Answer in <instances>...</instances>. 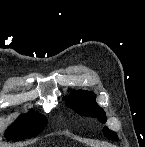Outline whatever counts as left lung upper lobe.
I'll return each instance as SVG.
<instances>
[{
	"label": "left lung upper lobe",
	"mask_w": 145,
	"mask_h": 147,
	"mask_svg": "<svg viewBox=\"0 0 145 147\" xmlns=\"http://www.w3.org/2000/svg\"><path fill=\"white\" fill-rule=\"evenodd\" d=\"M66 106L72 108L75 112L90 117H97L102 123H105L107 117L102 108L95 102V95L89 91H76L68 98H64ZM103 133L106 138L110 140H118V136L107 127L104 128Z\"/></svg>",
	"instance_id": "obj_1"
}]
</instances>
